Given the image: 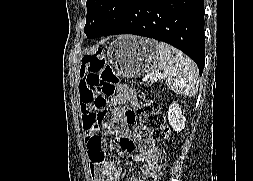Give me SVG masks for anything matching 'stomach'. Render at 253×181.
Masks as SVG:
<instances>
[{
	"mask_svg": "<svg viewBox=\"0 0 253 181\" xmlns=\"http://www.w3.org/2000/svg\"><path fill=\"white\" fill-rule=\"evenodd\" d=\"M157 41L144 37L119 36L108 47V60L116 73L131 78L156 70L159 50Z\"/></svg>",
	"mask_w": 253,
	"mask_h": 181,
	"instance_id": "stomach-1",
	"label": "stomach"
}]
</instances>
